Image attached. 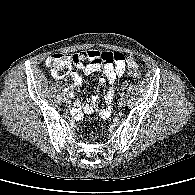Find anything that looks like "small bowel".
Wrapping results in <instances>:
<instances>
[{
	"mask_svg": "<svg viewBox=\"0 0 195 195\" xmlns=\"http://www.w3.org/2000/svg\"><path fill=\"white\" fill-rule=\"evenodd\" d=\"M72 63L76 70L71 73L72 88H77L82 85V74L89 75L95 72H100L102 76L99 79V86H106V91L103 96L104 107H98L99 96L94 94L89 103L76 102L77 109L85 114L97 113L102 118H108L111 115V104L116 93V82L118 78L123 76L126 67H137L135 60L131 57H125L119 52L85 50L76 54L70 55ZM88 61V64H84ZM78 112L79 116L81 113Z\"/></svg>",
	"mask_w": 195,
	"mask_h": 195,
	"instance_id": "1",
	"label": "small bowel"
}]
</instances>
